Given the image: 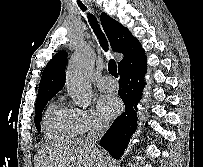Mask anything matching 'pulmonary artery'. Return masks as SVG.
<instances>
[{"label": "pulmonary artery", "instance_id": "pulmonary-artery-1", "mask_svg": "<svg viewBox=\"0 0 203 167\" xmlns=\"http://www.w3.org/2000/svg\"><path fill=\"white\" fill-rule=\"evenodd\" d=\"M96 86L102 91H109L116 87V83L110 76H103L97 79Z\"/></svg>", "mask_w": 203, "mask_h": 167}]
</instances>
